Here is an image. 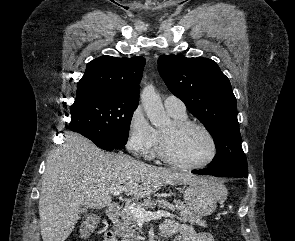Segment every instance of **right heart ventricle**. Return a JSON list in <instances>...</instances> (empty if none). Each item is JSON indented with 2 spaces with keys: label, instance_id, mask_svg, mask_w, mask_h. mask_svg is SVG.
Segmentation results:
<instances>
[{
  "label": "right heart ventricle",
  "instance_id": "obj_1",
  "mask_svg": "<svg viewBox=\"0 0 295 241\" xmlns=\"http://www.w3.org/2000/svg\"><path fill=\"white\" fill-rule=\"evenodd\" d=\"M170 115L173 117L174 120H185L187 119V115L185 114H177V113H173V112H169ZM156 135H157V139H156V143L155 146L151 152V155H154L157 153L158 151V144H159V136H160V132L156 131Z\"/></svg>",
  "mask_w": 295,
  "mask_h": 241
}]
</instances>
